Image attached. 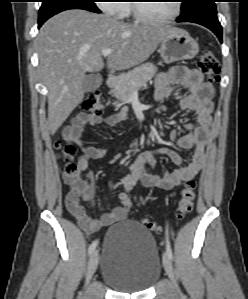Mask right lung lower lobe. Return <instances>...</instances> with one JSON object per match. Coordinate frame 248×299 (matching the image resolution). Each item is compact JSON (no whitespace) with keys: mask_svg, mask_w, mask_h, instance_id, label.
<instances>
[{"mask_svg":"<svg viewBox=\"0 0 248 299\" xmlns=\"http://www.w3.org/2000/svg\"><path fill=\"white\" fill-rule=\"evenodd\" d=\"M51 17V16H50ZM50 17H47V18H45V19H43V20H39V27L47 20V19H49Z\"/></svg>","mask_w":248,"mask_h":299,"instance_id":"98d812e1","label":"right lung lower lobe"}]
</instances>
